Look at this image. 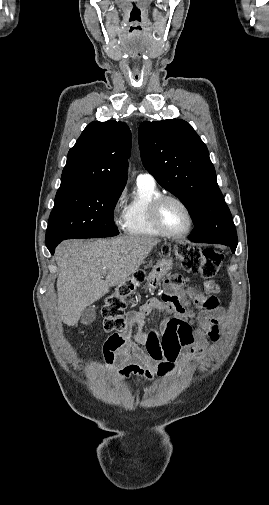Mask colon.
<instances>
[{
	"label": "colon",
	"mask_w": 269,
	"mask_h": 505,
	"mask_svg": "<svg viewBox=\"0 0 269 505\" xmlns=\"http://www.w3.org/2000/svg\"><path fill=\"white\" fill-rule=\"evenodd\" d=\"M175 251L188 274H201L203 281H216L220 278L219 271L224 262L222 253L209 248L201 249L185 244L179 245ZM144 280L145 273L143 270H139L131 278L123 281L116 292L106 297L102 315L104 329L113 333L110 337H116L129 331L130 325L124 316L127 307L126 299L137 290Z\"/></svg>",
	"instance_id": "colon-1"
}]
</instances>
